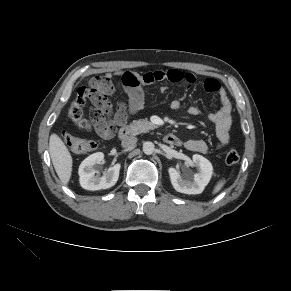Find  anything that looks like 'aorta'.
I'll use <instances>...</instances> for the list:
<instances>
[{
    "instance_id": "obj_1",
    "label": "aorta",
    "mask_w": 291,
    "mask_h": 291,
    "mask_svg": "<svg viewBox=\"0 0 291 291\" xmlns=\"http://www.w3.org/2000/svg\"><path fill=\"white\" fill-rule=\"evenodd\" d=\"M155 151V145L152 142H145L143 144V152L147 155H151Z\"/></svg>"
}]
</instances>
